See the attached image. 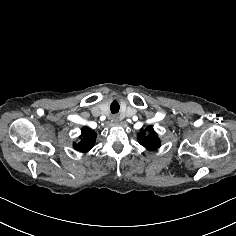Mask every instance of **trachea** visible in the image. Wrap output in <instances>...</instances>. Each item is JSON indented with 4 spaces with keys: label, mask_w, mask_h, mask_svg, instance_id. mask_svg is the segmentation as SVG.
<instances>
[{
    "label": "trachea",
    "mask_w": 236,
    "mask_h": 236,
    "mask_svg": "<svg viewBox=\"0 0 236 236\" xmlns=\"http://www.w3.org/2000/svg\"><path fill=\"white\" fill-rule=\"evenodd\" d=\"M120 105L119 103L114 100L110 105V110L113 114L117 113L119 111Z\"/></svg>",
    "instance_id": "3493384b"
}]
</instances>
